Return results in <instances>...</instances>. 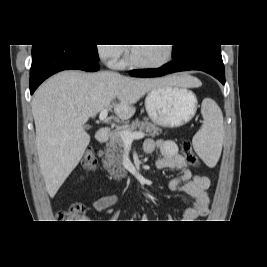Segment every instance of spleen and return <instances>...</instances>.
I'll return each instance as SVG.
<instances>
[{
    "instance_id": "obj_1",
    "label": "spleen",
    "mask_w": 267,
    "mask_h": 267,
    "mask_svg": "<svg viewBox=\"0 0 267 267\" xmlns=\"http://www.w3.org/2000/svg\"><path fill=\"white\" fill-rule=\"evenodd\" d=\"M203 125L193 137L192 143L198 156L214 167L219 160L224 138L223 115L217 105L203 107Z\"/></svg>"
}]
</instances>
